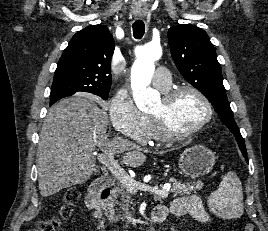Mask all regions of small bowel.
<instances>
[{"label": "small bowel", "instance_id": "1", "mask_svg": "<svg viewBox=\"0 0 268 231\" xmlns=\"http://www.w3.org/2000/svg\"><path fill=\"white\" fill-rule=\"evenodd\" d=\"M166 217L169 213L181 216L189 214L201 222L209 221V215L202 200L197 195H186L174 199L169 207H160L153 210L152 214Z\"/></svg>", "mask_w": 268, "mask_h": 231}]
</instances>
